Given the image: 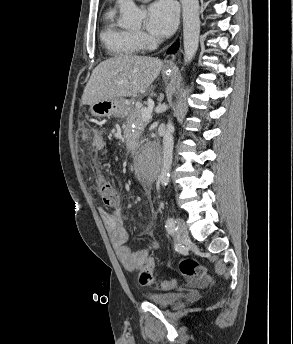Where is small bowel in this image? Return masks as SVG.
<instances>
[{"label": "small bowel", "mask_w": 293, "mask_h": 344, "mask_svg": "<svg viewBox=\"0 0 293 344\" xmlns=\"http://www.w3.org/2000/svg\"><path fill=\"white\" fill-rule=\"evenodd\" d=\"M84 140L89 142L91 147L97 151H103L105 149V141L103 138L94 136L89 139L88 136H83ZM103 222L109 234L114 251L122 263V265L128 269H133L137 266L142 265L147 256L154 250H157L159 245L153 240L152 244L145 249L138 251H131L126 245L128 240V232L124 227V218L122 209L120 207L114 209L113 212L102 211L101 213ZM146 233L150 237H154L152 229V222L145 224Z\"/></svg>", "instance_id": "c3829d8e"}]
</instances>
